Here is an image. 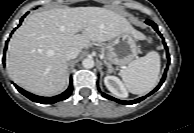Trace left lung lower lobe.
<instances>
[{
	"mask_svg": "<svg viewBox=\"0 0 194 133\" xmlns=\"http://www.w3.org/2000/svg\"><path fill=\"white\" fill-rule=\"evenodd\" d=\"M146 24L152 26V27L154 28V30H155L156 32H158V34L162 37V35H161L160 32L158 31L157 25H156L154 22H152L151 20H147V21H146ZM163 41H164V39H163ZM164 46H165V48L167 49L166 44H164ZM166 54H167L168 63H169V62H170V56H169L168 50L166 51ZM167 69H168V66H167L166 70L164 71V75H163V77H162V79H161L159 85H158L153 91H151L148 95L143 96V97H141V98H138V99H135V100H132V101H124V100H119V99H116V98H114V97H111V96H109V95H107V94H105V93H102V95H103L104 97H106L107 99L116 101V102H118V103H120V104H124V105H131V104L138 103V102L144 100L146 97H148V96H150L151 94H153L155 91H157V90L160 88V86L162 85V83H163L164 80H165V77H166V74H167Z\"/></svg>",
	"mask_w": 194,
	"mask_h": 133,
	"instance_id": "left-lung-lower-lobe-1",
	"label": "left lung lower lobe"
}]
</instances>
